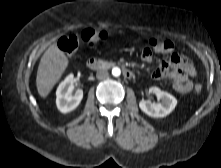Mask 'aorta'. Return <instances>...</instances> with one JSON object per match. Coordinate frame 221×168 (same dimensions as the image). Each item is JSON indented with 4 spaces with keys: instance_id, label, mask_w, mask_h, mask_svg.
Segmentation results:
<instances>
[{
    "instance_id": "1",
    "label": "aorta",
    "mask_w": 221,
    "mask_h": 168,
    "mask_svg": "<svg viewBox=\"0 0 221 168\" xmlns=\"http://www.w3.org/2000/svg\"><path fill=\"white\" fill-rule=\"evenodd\" d=\"M120 74H121V70H120L119 67H114V68L112 69V75H113L114 77H119Z\"/></svg>"
}]
</instances>
